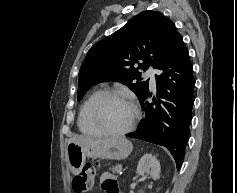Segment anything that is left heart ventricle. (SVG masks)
Masks as SVG:
<instances>
[{
  "instance_id": "obj_1",
  "label": "left heart ventricle",
  "mask_w": 237,
  "mask_h": 193,
  "mask_svg": "<svg viewBox=\"0 0 237 193\" xmlns=\"http://www.w3.org/2000/svg\"><path fill=\"white\" fill-rule=\"evenodd\" d=\"M132 116L133 109L128 102L110 98L101 103L97 110L96 118L102 128L118 131L130 123Z\"/></svg>"
}]
</instances>
